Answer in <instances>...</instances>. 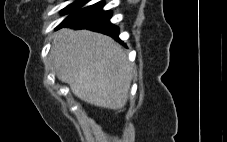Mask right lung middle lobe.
Wrapping results in <instances>:
<instances>
[{"mask_svg":"<svg viewBox=\"0 0 227 142\" xmlns=\"http://www.w3.org/2000/svg\"><path fill=\"white\" fill-rule=\"evenodd\" d=\"M88 1L89 0H76L75 2H73L72 4L67 6L65 9H63L62 10L63 14L70 13V15L63 22L70 21V20H73L76 18H80V17L86 16L90 13H93L95 11L101 10L104 5L103 2H98L94 5L77 10L78 8L82 7L85 3H87Z\"/></svg>","mask_w":227,"mask_h":142,"instance_id":"obj_1","label":"right lung middle lobe"}]
</instances>
